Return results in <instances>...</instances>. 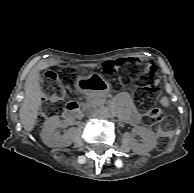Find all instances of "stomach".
Instances as JSON below:
<instances>
[{
    "label": "stomach",
    "instance_id": "0dacf381",
    "mask_svg": "<svg viewBox=\"0 0 194 193\" xmlns=\"http://www.w3.org/2000/svg\"><path fill=\"white\" fill-rule=\"evenodd\" d=\"M76 88L84 94L101 95L110 91L111 84L97 73H89L79 76L76 80Z\"/></svg>",
    "mask_w": 194,
    "mask_h": 193
}]
</instances>
